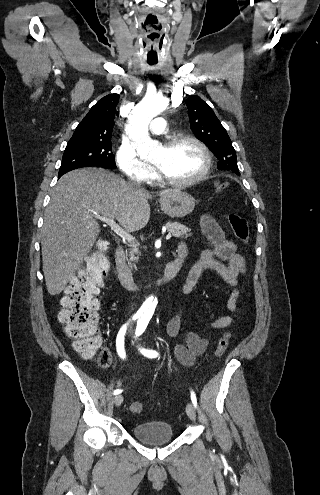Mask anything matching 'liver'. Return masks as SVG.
I'll list each match as a JSON object with an SVG mask.
<instances>
[{
    "label": "liver",
    "mask_w": 320,
    "mask_h": 495,
    "mask_svg": "<svg viewBox=\"0 0 320 495\" xmlns=\"http://www.w3.org/2000/svg\"><path fill=\"white\" fill-rule=\"evenodd\" d=\"M151 197L144 189H135L101 168L64 174L54 187L42 228L43 273L49 294L64 290L91 251L100 232L94 212L113 217L127 232L138 231L149 221Z\"/></svg>",
    "instance_id": "liver-1"
}]
</instances>
